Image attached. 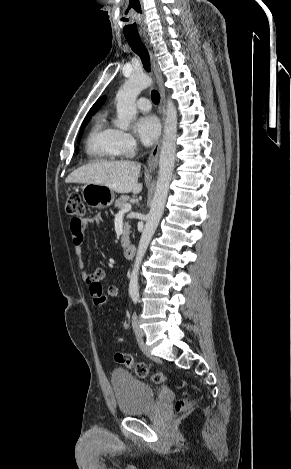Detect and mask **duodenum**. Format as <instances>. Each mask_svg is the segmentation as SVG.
I'll return each instance as SVG.
<instances>
[{
  "instance_id": "1",
  "label": "duodenum",
  "mask_w": 291,
  "mask_h": 469,
  "mask_svg": "<svg viewBox=\"0 0 291 469\" xmlns=\"http://www.w3.org/2000/svg\"><path fill=\"white\" fill-rule=\"evenodd\" d=\"M136 246L134 244H127L124 246V256L131 259L135 256Z\"/></svg>"
}]
</instances>
